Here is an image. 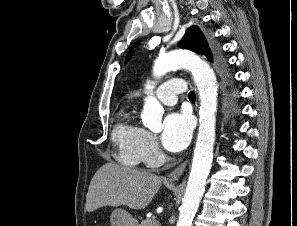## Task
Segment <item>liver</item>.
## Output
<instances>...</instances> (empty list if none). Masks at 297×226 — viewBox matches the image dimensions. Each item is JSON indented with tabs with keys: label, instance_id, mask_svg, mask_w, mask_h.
I'll return each instance as SVG.
<instances>
[{
	"label": "liver",
	"instance_id": "1",
	"mask_svg": "<svg viewBox=\"0 0 297 226\" xmlns=\"http://www.w3.org/2000/svg\"><path fill=\"white\" fill-rule=\"evenodd\" d=\"M162 177L115 163H106L94 174L86 196L85 210L104 206L143 209L162 185Z\"/></svg>",
	"mask_w": 297,
	"mask_h": 226
}]
</instances>
